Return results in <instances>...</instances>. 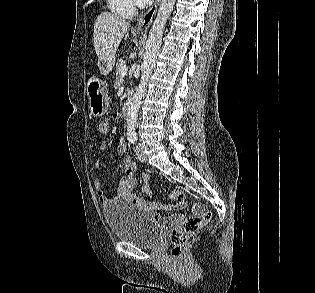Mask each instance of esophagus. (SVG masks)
Masks as SVG:
<instances>
[{"instance_id":"esophagus-1","label":"esophagus","mask_w":315,"mask_h":293,"mask_svg":"<svg viewBox=\"0 0 315 293\" xmlns=\"http://www.w3.org/2000/svg\"><path fill=\"white\" fill-rule=\"evenodd\" d=\"M160 0H155L153 5L141 16L137 24L133 27V31L144 33L150 26L153 17L158 9Z\"/></svg>"}]
</instances>
